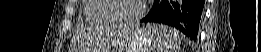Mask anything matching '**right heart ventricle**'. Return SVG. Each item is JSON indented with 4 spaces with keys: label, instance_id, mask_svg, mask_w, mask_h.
Listing matches in <instances>:
<instances>
[{
    "label": "right heart ventricle",
    "instance_id": "e07e8e85",
    "mask_svg": "<svg viewBox=\"0 0 261 52\" xmlns=\"http://www.w3.org/2000/svg\"><path fill=\"white\" fill-rule=\"evenodd\" d=\"M111 0H86L83 8L85 19L93 24L115 23L109 3Z\"/></svg>",
    "mask_w": 261,
    "mask_h": 52
}]
</instances>
